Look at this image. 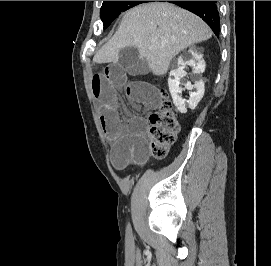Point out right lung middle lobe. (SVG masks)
Instances as JSON below:
<instances>
[{"mask_svg": "<svg viewBox=\"0 0 271 266\" xmlns=\"http://www.w3.org/2000/svg\"><path fill=\"white\" fill-rule=\"evenodd\" d=\"M146 2L150 1H103L100 17L104 24V29H106L121 12Z\"/></svg>", "mask_w": 271, "mask_h": 266, "instance_id": "right-lung-middle-lobe-1", "label": "right lung middle lobe"}]
</instances>
